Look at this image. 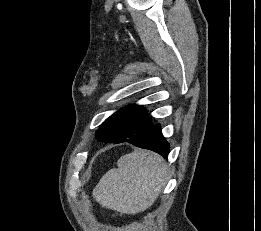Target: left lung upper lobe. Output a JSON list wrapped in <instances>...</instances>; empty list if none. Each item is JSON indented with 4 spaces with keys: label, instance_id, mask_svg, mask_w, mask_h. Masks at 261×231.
Here are the masks:
<instances>
[{
    "label": "left lung upper lobe",
    "instance_id": "5c2ea615",
    "mask_svg": "<svg viewBox=\"0 0 261 231\" xmlns=\"http://www.w3.org/2000/svg\"><path fill=\"white\" fill-rule=\"evenodd\" d=\"M153 123L140 106L131 105L108 117L96 132L99 141L113 142L121 138H143Z\"/></svg>",
    "mask_w": 261,
    "mask_h": 231
}]
</instances>
